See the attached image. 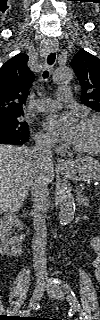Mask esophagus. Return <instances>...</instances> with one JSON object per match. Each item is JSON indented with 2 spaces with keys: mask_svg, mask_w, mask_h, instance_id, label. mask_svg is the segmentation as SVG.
<instances>
[{
  "mask_svg": "<svg viewBox=\"0 0 100 320\" xmlns=\"http://www.w3.org/2000/svg\"><path fill=\"white\" fill-rule=\"evenodd\" d=\"M51 51H57L58 46L56 44H53L50 46ZM69 165V161L67 159L58 158L57 159V167L61 169L67 168Z\"/></svg>",
  "mask_w": 100,
  "mask_h": 320,
  "instance_id": "34e87169",
  "label": "esophagus"
}]
</instances>
